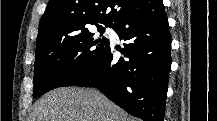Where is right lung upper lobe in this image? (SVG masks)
<instances>
[{
    "mask_svg": "<svg viewBox=\"0 0 217 121\" xmlns=\"http://www.w3.org/2000/svg\"><path fill=\"white\" fill-rule=\"evenodd\" d=\"M143 0H49L39 23L36 47L98 23L114 25ZM110 10L105 14L106 10Z\"/></svg>",
    "mask_w": 217,
    "mask_h": 121,
    "instance_id": "cb5924a9",
    "label": "right lung upper lobe"
}]
</instances>
